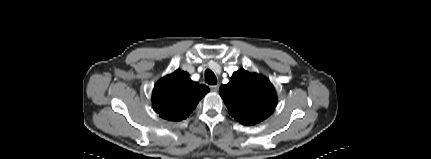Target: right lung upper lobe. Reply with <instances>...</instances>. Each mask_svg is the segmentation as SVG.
<instances>
[{
    "label": "right lung upper lobe",
    "instance_id": "cb5924a9",
    "mask_svg": "<svg viewBox=\"0 0 431 159\" xmlns=\"http://www.w3.org/2000/svg\"><path fill=\"white\" fill-rule=\"evenodd\" d=\"M209 91L189 79L188 73L179 72L160 79L153 90L154 110L167 120H182L188 117L199 100Z\"/></svg>",
    "mask_w": 431,
    "mask_h": 159
}]
</instances>
